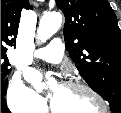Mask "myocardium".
<instances>
[{"instance_id": "f54148a6", "label": "myocardium", "mask_w": 121, "mask_h": 113, "mask_svg": "<svg viewBox=\"0 0 121 113\" xmlns=\"http://www.w3.org/2000/svg\"><path fill=\"white\" fill-rule=\"evenodd\" d=\"M62 86L72 89V90L83 91V92L89 93L93 98H95L101 104L102 111L100 113L108 112L109 105H108L107 101L105 100V98L102 95H100L95 89L90 87L89 85H86L84 83H79V82L68 81V82H65ZM49 105H50V110L52 111V113H59L56 111V109L51 101H50Z\"/></svg>"}]
</instances>
